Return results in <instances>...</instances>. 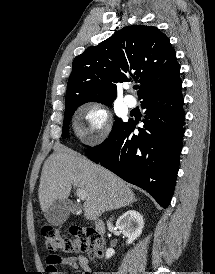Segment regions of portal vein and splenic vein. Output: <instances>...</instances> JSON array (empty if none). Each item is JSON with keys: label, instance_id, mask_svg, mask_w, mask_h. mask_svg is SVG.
Segmentation results:
<instances>
[{"label": "portal vein and splenic vein", "instance_id": "1", "mask_svg": "<svg viewBox=\"0 0 215 274\" xmlns=\"http://www.w3.org/2000/svg\"><path fill=\"white\" fill-rule=\"evenodd\" d=\"M76 193H77V197H78L79 199L85 200V198H86V193H85L84 190L78 188V189L76 190Z\"/></svg>", "mask_w": 215, "mask_h": 274}]
</instances>
